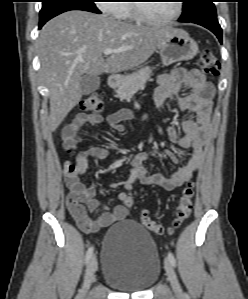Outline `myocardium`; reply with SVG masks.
<instances>
[{"instance_id": "f54148a6", "label": "myocardium", "mask_w": 248, "mask_h": 299, "mask_svg": "<svg viewBox=\"0 0 248 299\" xmlns=\"http://www.w3.org/2000/svg\"><path fill=\"white\" fill-rule=\"evenodd\" d=\"M175 3H176L175 13L172 16L163 18V19L154 18V17L148 15L144 11V9L142 7V3H135L133 9H134L136 18L139 21H141L143 23H147V24L163 25V24L171 23V22L177 20L181 16V14L183 12V3L181 0H175Z\"/></svg>"}]
</instances>
